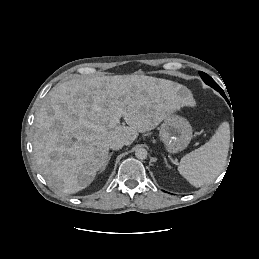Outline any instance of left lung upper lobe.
<instances>
[{"label": "left lung upper lobe", "instance_id": "5c2ea615", "mask_svg": "<svg viewBox=\"0 0 259 259\" xmlns=\"http://www.w3.org/2000/svg\"><path fill=\"white\" fill-rule=\"evenodd\" d=\"M199 74L201 75L202 80L209 86H211L212 88H214L217 91H221L222 89L220 88V86L206 73L204 72H199Z\"/></svg>", "mask_w": 259, "mask_h": 259}]
</instances>
